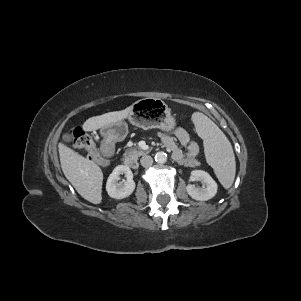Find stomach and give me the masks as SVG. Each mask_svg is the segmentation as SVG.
Returning <instances> with one entry per match:
<instances>
[{
  "instance_id": "obj_1",
  "label": "stomach",
  "mask_w": 301,
  "mask_h": 301,
  "mask_svg": "<svg viewBox=\"0 0 301 301\" xmlns=\"http://www.w3.org/2000/svg\"><path fill=\"white\" fill-rule=\"evenodd\" d=\"M129 121L142 129L159 128L163 131H172L176 126V119L163 101L156 98H143L131 105ZM106 140L113 142L122 140L127 134V126L123 122L102 128Z\"/></svg>"
}]
</instances>
